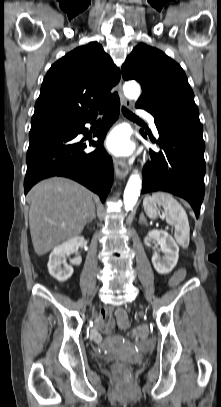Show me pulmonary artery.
Listing matches in <instances>:
<instances>
[{"label":"pulmonary artery","instance_id":"e3ab8cb5","mask_svg":"<svg viewBox=\"0 0 221 407\" xmlns=\"http://www.w3.org/2000/svg\"><path fill=\"white\" fill-rule=\"evenodd\" d=\"M137 113H138L139 115L145 117V118L148 120V122L150 123L152 129H153L155 132H157V128H156V125H155L154 117H153L152 115H150L149 113H147V112H145V111H143V110H138Z\"/></svg>","mask_w":221,"mask_h":407}]
</instances>
